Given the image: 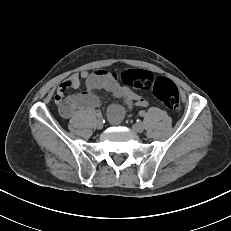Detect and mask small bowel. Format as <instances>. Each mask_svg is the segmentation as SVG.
<instances>
[{"label": "small bowel", "instance_id": "small-bowel-1", "mask_svg": "<svg viewBox=\"0 0 231 231\" xmlns=\"http://www.w3.org/2000/svg\"><path fill=\"white\" fill-rule=\"evenodd\" d=\"M82 83L85 87L82 93L66 96L67 90L77 89ZM97 90H106L120 99L125 105L124 109L116 106L109 108L108 118L113 124L122 120L125 110H129L134 106L146 107L148 104L146 99L124 85L120 80V76L115 72L96 70L89 73L82 71L67 77L57 89L54 101L61 116L65 119H70L77 111H88L97 108L100 105Z\"/></svg>", "mask_w": 231, "mask_h": 231}]
</instances>
